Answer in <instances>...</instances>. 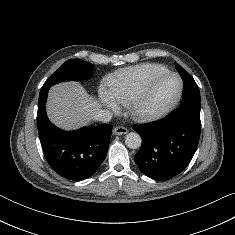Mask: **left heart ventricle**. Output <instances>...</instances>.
<instances>
[{"label": "left heart ventricle", "instance_id": "1", "mask_svg": "<svg viewBox=\"0 0 235 235\" xmlns=\"http://www.w3.org/2000/svg\"><path fill=\"white\" fill-rule=\"evenodd\" d=\"M178 89L179 82L176 78L168 77L158 80L152 86L144 104L145 109L153 111L162 108L176 96Z\"/></svg>", "mask_w": 235, "mask_h": 235}]
</instances>
